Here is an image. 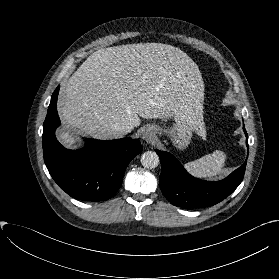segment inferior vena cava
<instances>
[{
	"instance_id": "inferior-vena-cava-1",
	"label": "inferior vena cava",
	"mask_w": 279,
	"mask_h": 279,
	"mask_svg": "<svg viewBox=\"0 0 279 279\" xmlns=\"http://www.w3.org/2000/svg\"><path fill=\"white\" fill-rule=\"evenodd\" d=\"M131 130H132V125H125L120 129L123 135L131 132Z\"/></svg>"
}]
</instances>
